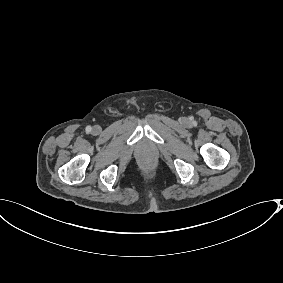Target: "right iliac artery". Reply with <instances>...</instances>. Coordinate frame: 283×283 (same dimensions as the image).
<instances>
[{
  "label": "right iliac artery",
  "mask_w": 283,
  "mask_h": 283,
  "mask_svg": "<svg viewBox=\"0 0 283 283\" xmlns=\"http://www.w3.org/2000/svg\"><path fill=\"white\" fill-rule=\"evenodd\" d=\"M91 130H92L91 126H87V127H86V131H87V132H90Z\"/></svg>",
  "instance_id": "right-iliac-artery-1"
}]
</instances>
